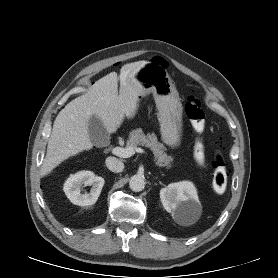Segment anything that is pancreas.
Here are the masks:
<instances>
[{"mask_svg": "<svg viewBox=\"0 0 278 278\" xmlns=\"http://www.w3.org/2000/svg\"><path fill=\"white\" fill-rule=\"evenodd\" d=\"M127 146L133 148H136L137 146L148 147L153 152L158 166L167 168L171 167L173 158L166 154L164 145L158 142L155 134L145 135L142 129H135L130 133Z\"/></svg>", "mask_w": 278, "mask_h": 278, "instance_id": "cf45deb5", "label": "pancreas"}]
</instances>
